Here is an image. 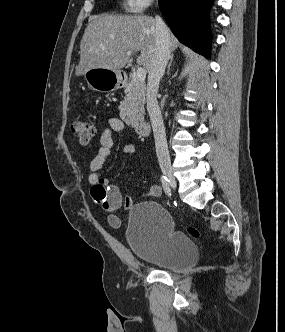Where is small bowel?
Listing matches in <instances>:
<instances>
[{
  "instance_id": "1",
  "label": "small bowel",
  "mask_w": 285,
  "mask_h": 332,
  "mask_svg": "<svg viewBox=\"0 0 285 332\" xmlns=\"http://www.w3.org/2000/svg\"><path fill=\"white\" fill-rule=\"evenodd\" d=\"M125 125L119 118H110L107 127L102 131L99 138V148L96 155L90 162V174L88 181L91 185V197L96 204L108 213V222L112 227L118 228L121 225L117 213L123 209H129L133 205L131 196L123 197L120 189L116 185H110L109 180L100 175L108 156L114 145V133L124 131ZM134 145H126L122 149L123 154H132L135 152ZM161 195V188L157 185L151 186L146 196L156 198Z\"/></svg>"
}]
</instances>
